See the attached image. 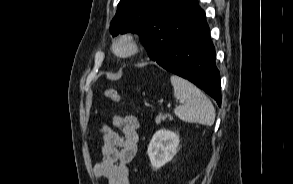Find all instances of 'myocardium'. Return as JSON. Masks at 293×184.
<instances>
[{
	"label": "myocardium",
	"instance_id": "obj_1",
	"mask_svg": "<svg viewBox=\"0 0 293 184\" xmlns=\"http://www.w3.org/2000/svg\"><path fill=\"white\" fill-rule=\"evenodd\" d=\"M141 42L133 33L119 35L112 44L114 54L121 58H130L139 53Z\"/></svg>",
	"mask_w": 293,
	"mask_h": 184
}]
</instances>
